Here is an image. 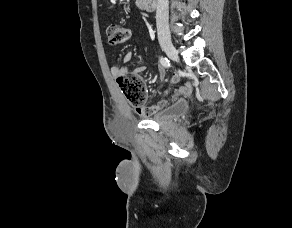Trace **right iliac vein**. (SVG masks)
Here are the masks:
<instances>
[{
	"mask_svg": "<svg viewBox=\"0 0 292 228\" xmlns=\"http://www.w3.org/2000/svg\"><path fill=\"white\" fill-rule=\"evenodd\" d=\"M162 50L167 54V56L173 61H179V56L177 50L174 48L171 42L163 41L161 43Z\"/></svg>",
	"mask_w": 292,
	"mask_h": 228,
	"instance_id": "63e3f726",
	"label": "right iliac vein"
}]
</instances>
